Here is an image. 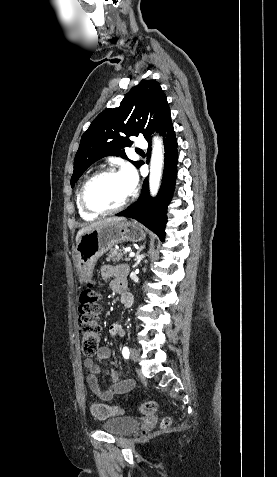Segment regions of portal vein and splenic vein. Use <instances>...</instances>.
I'll list each match as a JSON object with an SVG mask.
<instances>
[{
  "label": "portal vein and splenic vein",
  "instance_id": "18ae733b",
  "mask_svg": "<svg viewBox=\"0 0 277 477\" xmlns=\"http://www.w3.org/2000/svg\"><path fill=\"white\" fill-rule=\"evenodd\" d=\"M129 256H130V257H134V256H135V253L132 252V251H129Z\"/></svg>",
  "mask_w": 277,
  "mask_h": 477
}]
</instances>
